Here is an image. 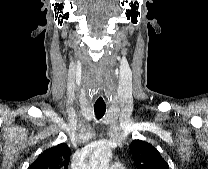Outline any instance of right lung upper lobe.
Segmentation results:
<instances>
[{
    "instance_id": "cb5924a9",
    "label": "right lung upper lobe",
    "mask_w": 208,
    "mask_h": 169,
    "mask_svg": "<svg viewBox=\"0 0 208 169\" xmlns=\"http://www.w3.org/2000/svg\"><path fill=\"white\" fill-rule=\"evenodd\" d=\"M71 150L61 143L42 152L28 169H68Z\"/></svg>"
}]
</instances>
